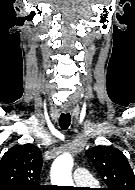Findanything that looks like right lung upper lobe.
Masks as SVG:
<instances>
[{
  "label": "right lung upper lobe",
  "mask_w": 135,
  "mask_h": 190,
  "mask_svg": "<svg viewBox=\"0 0 135 190\" xmlns=\"http://www.w3.org/2000/svg\"><path fill=\"white\" fill-rule=\"evenodd\" d=\"M43 159L33 144L16 145L0 160V190H36Z\"/></svg>",
  "instance_id": "right-lung-upper-lobe-1"
}]
</instances>
